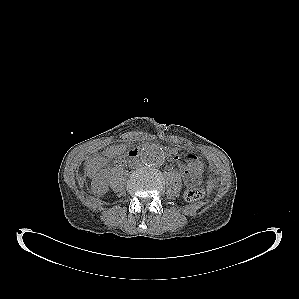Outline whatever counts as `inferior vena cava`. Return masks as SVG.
Listing matches in <instances>:
<instances>
[{"label":"inferior vena cava","mask_w":299,"mask_h":299,"mask_svg":"<svg viewBox=\"0 0 299 299\" xmlns=\"http://www.w3.org/2000/svg\"><path fill=\"white\" fill-rule=\"evenodd\" d=\"M134 165H135V166H139V165H140V162H139V161H136V162L134 163Z\"/></svg>","instance_id":"obj_1"}]
</instances>
